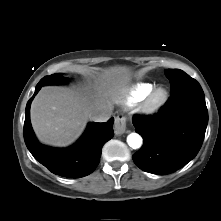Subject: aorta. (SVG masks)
<instances>
[{"mask_svg": "<svg viewBox=\"0 0 221 221\" xmlns=\"http://www.w3.org/2000/svg\"><path fill=\"white\" fill-rule=\"evenodd\" d=\"M128 145L133 149H138L142 145V137L137 133H131L127 137Z\"/></svg>", "mask_w": 221, "mask_h": 221, "instance_id": "1", "label": "aorta"}]
</instances>
